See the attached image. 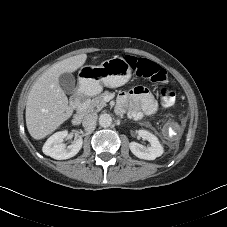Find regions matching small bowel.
I'll list each match as a JSON object with an SVG mask.
<instances>
[{
	"instance_id": "small-bowel-1",
	"label": "small bowel",
	"mask_w": 227,
	"mask_h": 227,
	"mask_svg": "<svg viewBox=\"0 0 227 227\" xmlns=\"http://www.w3.org/2000/svg\"><path fill=\"white\" fill-rule=\"evenodd\" d=\"M118 109L127 110L130 117L140 119L144 115H152L158 105L153 96L144 86H134L118 96Z\"/></svg>"
}]
</instances>
